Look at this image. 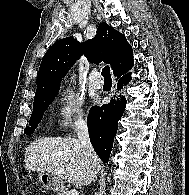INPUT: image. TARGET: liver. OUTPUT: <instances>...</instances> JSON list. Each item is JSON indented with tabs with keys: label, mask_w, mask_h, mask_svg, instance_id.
Instances as JSON below:
<instances>
[{
	"label": "liver",
	"mask_w": 189,
	"mask_h": 195,
	"mask_svg": "<svg viewBox=\"0 0 189 195\" xmlns=\"http://www.w3.org/2000/svg\"><path fill=\"white\" fill-rule=\"evenodd\" d=\"M24 167L29 171L49 172L58 178L88 185L97 176L100 159L90 155L75 138L43 137L25 149Z\"/></svg>",
	"instance_id": "liver-1"
}]
</instances>
